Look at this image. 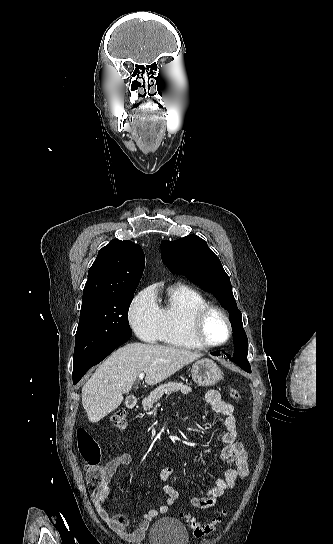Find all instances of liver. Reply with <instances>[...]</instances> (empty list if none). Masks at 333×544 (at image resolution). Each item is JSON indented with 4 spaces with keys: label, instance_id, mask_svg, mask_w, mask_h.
<instances>
[{
    "label": "liver",
    "instance_id": "liver-1",
    "mask_svg": "<svg viewBox=\"0 0 333 544\" xmlns=\"http://www.w3.org/2000/svg\"><path fill=\"white\" fill-rule=\"evenodd\" d=\"M203 354L186 349L130 343L113 352L82 388V405L90 422L95 423L117 409L138 375L155 385L167 379Z\"/></svg>",
    "mask_w": 333,
    "mask_h": 544
}]
</instances>
